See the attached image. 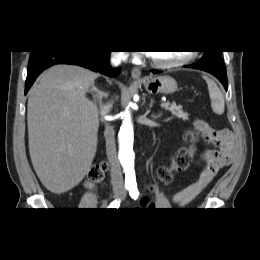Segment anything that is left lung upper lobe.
<instances>
[{
  "instance_id": "left-lung-upper-lobe-1",
  "label": "left lung upper lobe",
  "mask_w": 260,
  "mask_h": 260,
  "mask_svg": "<svg viewBox=\"0 0 260 260\" xmlns=\"http://www.w3.org/2000/svg\"><path fill=\"white\" fill-rule=\"evenodd\" d=\"M220 51H204V57L208 55L220 56Z\"/></svg>"
}]
</instances>
